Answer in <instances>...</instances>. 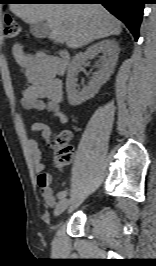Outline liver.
<instances>
[{
	"label": "liver",
	"mask_w": 156,
	"mask_h": 266,
	"mask_svg": "<svg viewBox=\"0 0 156 266\" xmlns=\"http://www.w3.org/2000/svg\"><path fill=\"white\" fill-rule=\"evenodd\" d=\"M24 22L46 21L49 39L76 49L110 35H119L120 22L99 4H11Z\"/></svg>",
	"instance_id": "6515ba94"
}]
</instances>
